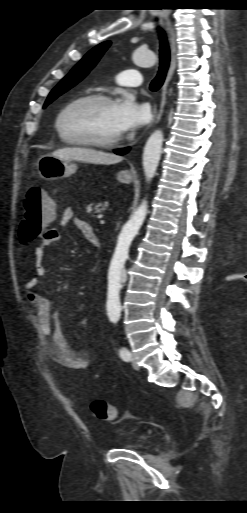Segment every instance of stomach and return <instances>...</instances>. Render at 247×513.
<instances>
[{
	"mask_svg": "<svg viewBox=\"0 0 247 513\" xmlns=\"http://www.w3.org/2000/svg\"><path fill=\"white\" fill-rule=\"evenodd\" d=\"M38 172L44 180H56L74 174L78 165L71 160H63L53 155H44L38 160ZM117 180L124 184L132 181L128 171H121L117 174Z\"/></svg>",
	"mask_w": 247,
	"mask_h": 513,
	"instance_id": "obj_1",
	"label": "stomach"
}]
</instances>
